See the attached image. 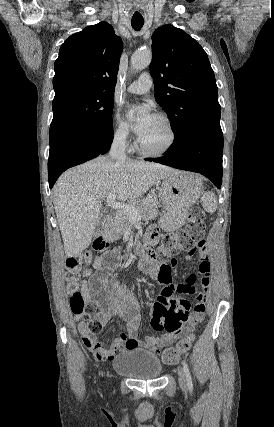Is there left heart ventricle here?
<instances>
[{
	"label": "left heart ventricle",
	"mask_w": 274,
	"mask_h": 427,
	"mask_svg": "<svg viewBox=\"0 0 274 427\" xmlns=\"http://www.w3.org/2000/svg\"><path fill=\"white\" fill-rule=\"evenodd\" d=\"M170 133L166 125L154 117L145 134L139 137L140 144L149 151H160L167 146Z\"/></svg>",
	"instance_id": "obj_1"
}]
</instances>
